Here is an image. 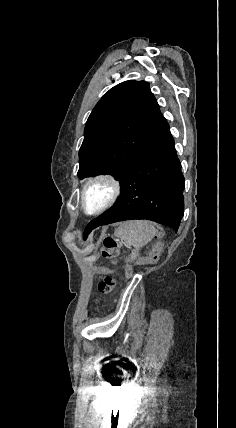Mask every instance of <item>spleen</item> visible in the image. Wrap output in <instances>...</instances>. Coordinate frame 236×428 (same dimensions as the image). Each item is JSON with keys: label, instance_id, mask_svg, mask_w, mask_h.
I'll return each mask as SVG.
<instances>
[{"label": "spleen", "instance_id": "1", "mask_svg": "<svg viewBox=\"0 0 236 428\" xmlns=\"http://www.w3.org/2000/svg\"><path fill=\"white\" fill-rule=\"evenodd\" d=\"M118 238L124 240L125 246H133L130 260H136L139 250L151 242L155 236V228L146 220H131L124 222L116 232Z\"/></svg>", "mask_w": 236, "mask_h": 428}]
</instances>
